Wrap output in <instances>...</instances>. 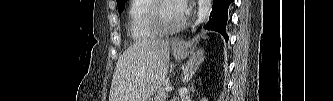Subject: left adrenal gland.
Masks as SVG:
<instances>
[{
	"label": "left adrenal gland",
	"mask_w": 333,
	"mask_h": 101,
	"mask_svg": "<svg viewBox=\"0 0 333 101\" xmlns=\"http://www.w3.org/2000/svg\"><path fill=\"white\" fill-rule=\"evenodd\" d=\"M204 50L200 49L196 56H194L188 63L187 67L184 70V82L187 83L190 81L192 76L195 74L201 63L204 61Z\"/></svg>",
	"instance_id": "a2214340"
}]
</instances>
